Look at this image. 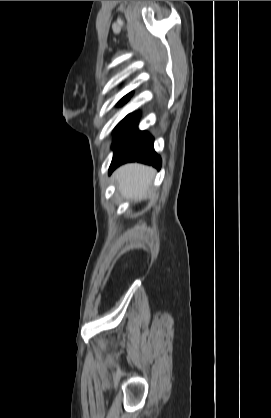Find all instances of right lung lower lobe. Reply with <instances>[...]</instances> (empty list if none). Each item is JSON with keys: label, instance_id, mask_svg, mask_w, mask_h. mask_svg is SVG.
<instances>
[{"label": "right lung lower lobe", "instance_id": "obj_1", "mask_svg": "<svg viewBox=\"0 0 271 418\" xmlns=\"http://www.w3.org/2000/svg\"><path fill=\"white\" fill-rule=\"evenodd\" d=\"M153 137L146 131H139L137 123L123 132L113 143L114 156L109 173L123 163L137 161L161 168V158L153 148Z\"/></svg>", "mask_w": 271, "mask_h": 418}]
</instances>
